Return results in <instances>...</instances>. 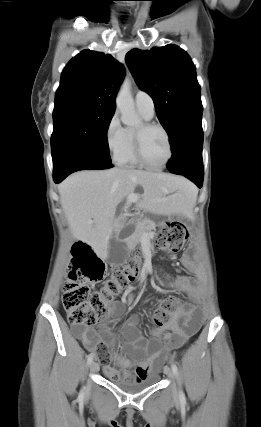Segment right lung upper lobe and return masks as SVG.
<instances>
[{
    "mask_svg": "<svg viewBox=\"0 0 261 427\" xmlns=\"http://www.w3.org/2000/svg\"><path fill=\"white\" fill-rule=\"evenodd\" d=\"M124 74V67L112 56L82 51L62 72L54 110L84 106L115 111V96Z\"/></svg>",
    "mask_w": 261,
    "mask_h": 427,
    "instance_id": "right-lung-upper-lobe-1",
    "label": "right lung upper lobe"
}]
</instances>
